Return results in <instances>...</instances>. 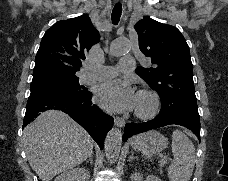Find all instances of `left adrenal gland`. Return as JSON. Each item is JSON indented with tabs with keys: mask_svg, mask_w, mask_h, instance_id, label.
<instances>
[{
	"mask_svg": "<svg viewBox=\"0 0 228 181\" xmlns=\"http://www.w3.org/2000/svg\"><path fill=\"white\" fill-rule=\"evenodd\" d=\"M136 157H134V153H131V157H129V161H135Z\"/></svg>",
	"mask_w": 228,
	"mask_h": 181,
	"instance_id": "1",
	"label": "left adrenal gland"
}]
</instances>
